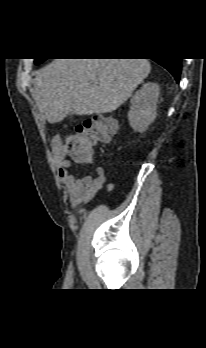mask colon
<instances>
[{"instance_id": "obj_1", "label": "colon", "mask_w": 206, "mask_h": 348, "mask_svg": "<svg viewBox=\"0 0 206 348\" xmlns=\"http://www.w3.org/2000/svg\"><path fill=\"white\" fill-rule=\"evenodd\" d=\"M116 130V123L101 115L79 124L75 132L60 138L57 151L73 161L85 163L92 160V150L98 144L108 143Z\"/></svg>"}]
</instances>
